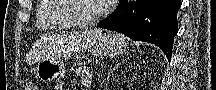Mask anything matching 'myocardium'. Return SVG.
Masks as SVG:
<instances>
[{"label":"myocardium","instance_id":"f54148a6","mask_svg":"<svg viewBox=\"0 0 216 90\" xmlns=\"http://www.w3.org/2000/svg\"><path fill=\"white\" fill-rule=\"evenodd\" d=\"M76 1H94V0H66L64 14H67L66 18H69L77 28H94L97 22L107 19L109 8L104 2L101 1L100 8L95 17L82 18L77 16L74 13L75 12L74 3H76Z\"/></svg>","mask_w":216,"mask_h":90}]
</instances>
